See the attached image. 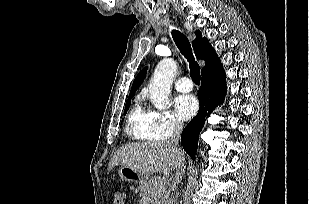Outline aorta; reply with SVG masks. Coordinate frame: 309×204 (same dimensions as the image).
Masks as SVG:
<instances>
[{
  "mask_svg": "<svg viewBox=\"0 0 309 204\" xmlns=\"http://www.w3.org/2000/svg\"><path fill=\"white\" fill-rule=\"evenodd\" d=\"M177 64L171 58L160 61L149 85V97L153 106L159 110L166 108L171 92V84L176 75Z\"/></svg>",
  "mask_w": 309,
  "mask_h": 204,
  "instance_id": "aorta-1",
  "label": "aorta"
}]
</instances>
